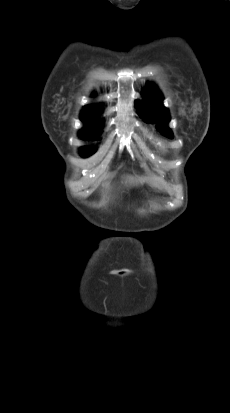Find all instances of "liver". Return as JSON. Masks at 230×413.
I'll return each instance as SVG.
<instances>
[{
    "instance_id": "liver-1",
    "label": "liver",
    "mask_w": 230,
    "mask_h": 413,
    "mask_svg": "<svg viewBox=\"0 0 230 413\" xmlns=\"http://www.w3.org/2000/svg\"><path fill=\"white\" fill-rule=\"evenodd\" d=\"M130 181H131V182H135L132 178L130 179ZM136 182H138V181H136ZM140 182H142V181H140Z\"/></svg>"
}]
</instances>
